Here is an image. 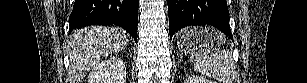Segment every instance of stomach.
I'll list each match as a JSON object with an SVG mask.
<instances>
[{
	"label": "stomach",
	"instance_id": "obj_1",
	"mask_svg": "<svg viewBox=\"0 0 307 83\" xmlns=\"http://www.w3.org/2000/svg\"><path fill=\"white\" fill-rule=\"evenodd\" d=\"M199 30L196 28H187L182 30L177 35V44L179 48L187 53H191L195 48H198L201 45ZM216 47L214 41L209 42V49Z\"/></svg>",
	"mask_w": 307,
	"mask_h": 83
}]
</instances>
